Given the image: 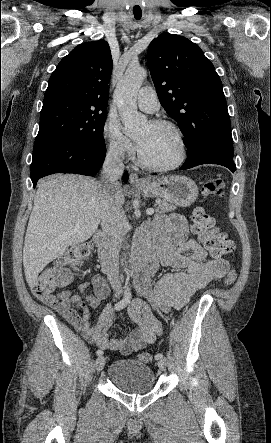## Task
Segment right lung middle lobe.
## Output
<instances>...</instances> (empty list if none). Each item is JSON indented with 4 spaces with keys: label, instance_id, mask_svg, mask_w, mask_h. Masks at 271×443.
Instances as JSON below:
<instances>
[{
    "label": "right lung middle lobe",
    "instance_id": "right-lung-middle-lobe-1",
    "mask_svg": "<svg viewBox=\"0 0 271 443\" xmlns=\"http://www.w3.org/2000/svg\"><path fill=\"white\" fill-rule=\"evenodd\" d=\"M106 108L73 100L43 103L39 132L33 151L50 141H65L82 145L103 143Z\"/></svg>",
    "mask_w": 271,
    "mask_h": 443
}]
</instances>
